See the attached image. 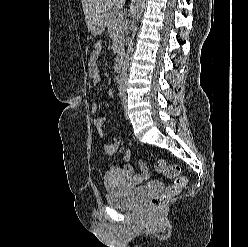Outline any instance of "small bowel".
Here are the masks:
<instances>
[{
	"label": "small bowel",
	"mask_w": 248,
	"mask_h": 247,
	"mask_svg": "<svg viewBox=\"0 0 248 247\" xmlns=\"http://www.w3.org/2000/svg\"><path fill=\"white\" fill-rule=\"evenodd\" d=\"M102 49H103L102 43H101V47L94 48V50L91 53L90 60L88 62V73H89L91 85L94 87L98 86L101 83V79H102L99 66H98V59L102 53ZM98 109H99L98 102L93 101L90 105L91 112L96 113ZM93 124L99 136H102V128L105 124V117L104 116L95 117L93 120ZM119 147H120V140L117 138H114L109 144L104 145V151L108 155H113L118 151ZM130 157H131L130 151L126 150L124 154V159L126 163L119 165V166H114L112 167V169L116 168V169L123 170L124 172L128 174L131 184L137 185L143 180V178L140 175L134 174L133 166L130 163H128V161L130 160Z\"/></svg>",
	"instance_id": "1"
}]
</instances>
